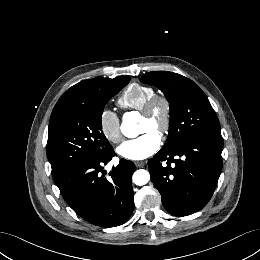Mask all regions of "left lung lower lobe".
<instances>
[{
    "label": "left lung lower lobe",
    "instance_id": "0a47b994",
    "mask_svg": "<svg viewBox=\"0 0 260 260\" xmlns=\"http://www.w3.org/2000/svg\"><path fill=\"white\" fill-rule=\"evenodd\" d=\"M221 134H206L173 148H162L148 161L151 180L165 209L187 216L210 200L222 170Z\"/></svg>",
    "mask_w": 260,
    "mask_h": 260
}]
</instances>
